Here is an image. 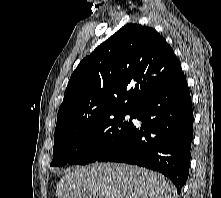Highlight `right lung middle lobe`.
Returning <instances> with one entry per match:
<instances>
[{
	"mask_svg": "<svg viewBox=\"0 0 221 198\" xmlns=\"http://www.w3.org/2000/svg\"><path fill=\"white\" fill-rule=\"evenodd\" d=\"M126 114H130L131 118L135 116V113H116L80 130L55 137L54 156L50 165L62 166L66 163L84 165L96 161L131 130L133 123L123 122Z\"/></svg>",
	"mask_w": 221,
	"mask_h": 198,
	"instance_id": "1",
	"label": "right lung middle lobe"
}]
</instances>
